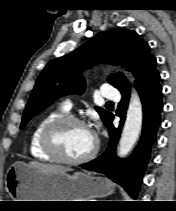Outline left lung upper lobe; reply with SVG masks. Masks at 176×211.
I'll use <instances>...</instances> for the list:
<instances>
[{"label":"left lung upper lobe","mask_w":176,"mask_h":211,"mask_svg":"<svg viewBox=\"0 0 176 211\" xmlns=\"http://www.w3.org/2000/svg\"><path fill=\"white\" fill-rule=\"evenodd\" d=\"M104 62L121 64L132 71L137 78L136 88L159 74L149 45L135 31L113 29L98 33L73 53L53 59L46 65L30 95L20 128H24L32 117L54 100L64 95L82 93L85 87L82 70ZM108 82L121 93L130 92V86L122 74L109 76ZM96 110L106 124L112 113L99 107Z\"/></svg>","instance_id":"left-lung-upper-lobe-1"}]
</instances>
